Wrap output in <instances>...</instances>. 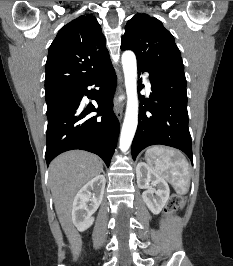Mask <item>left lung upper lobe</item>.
I'll use <instances>...</instances> for the list:
<instances>
[{"label":"left lung upper lobe","instance_id":"left-lung-upper-lobe-1","mask_svg":"<svg viewBox=\"0 0 233 266\" xmlns=\"http://www.w3.org/2000/svg\"><path fill=\"white\" fill-rule=\"evenodd\" d=\"M122 50H132L137 64L150 72H181L184 66L172 34L156 18L134 15L125 26Z\"/></svg>","mask_w":233,"mask_h":266}]
</instances>
